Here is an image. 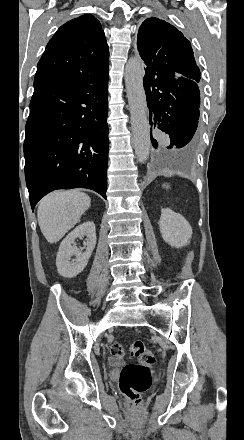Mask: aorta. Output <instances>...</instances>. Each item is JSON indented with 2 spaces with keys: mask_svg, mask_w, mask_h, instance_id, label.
<instances>
[{
  "mask_svg": "<svg viewBox=\"0 0 244 440\" xmlns=\"http://www.w3.org/2000/svg\"><path fill=\"white\" fill-rule=\"evenodd\" d=\"M125 85L131 116L133 143L137 160L144 163L150 152V132L147 119L143 68L139 57H131L125 66Z\"/></svg>",
  "mask_w": 244,
  "mask_h": 440,
  "instance_id": "1",
  "label": "aorta"
}]
</instances>
